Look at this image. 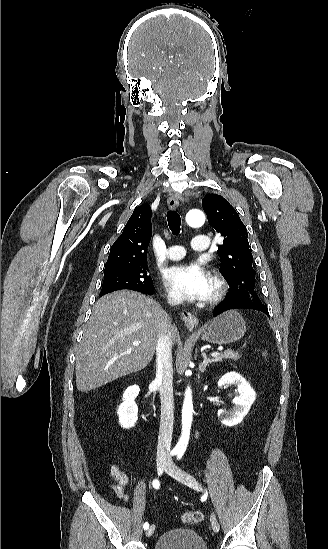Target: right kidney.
Returning a JSON list of instances; mask_svg holds the SVG:
<instances>
[{
	"instance_id": "right-kidney-1",
	"label": "right kidney",
	"mask_w": 328,
	"mask_h": 549,
	"mask_svg": "<svg viewBox=\"0 0 328 549\" xmlns=\"http://www.w3.org/2000/svg\"><path fill=\"white\" fill-rule=\"evenodd\" d=\"M138 385H132L124 391L123 401L121 403L117 413L119 415V423L124 429H130V427H135L138 419V407L135 403L136 397L139 395Z\"/></svg>"
}]
</instances>
